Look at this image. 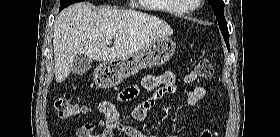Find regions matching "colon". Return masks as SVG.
I'll return each instance as SVG.
<instances>
[{
  "mask_svg": "<svg viewBox=\"0 0 280 137\" xmlns=\"http://www.w3.org/2000/svg\"><path fill=\"white\" fill-rule=\"evenodd\" d=\"M213 75H214V65L212 61L210 59H203L200 60L195 65L194 69L188 75L187 81L194 82L198 79H209ZM120 96L124 102H128L135 97L134 94L128 90H124L120 94ZM53 105L58 116L62 119H74L83 110V108L78 106L76 103L63 97L56 98L53 102ZM215 136L216 133H213L211 131H206L201 134V137H215Z\"/></svg>",
  "mask_w": 280,
  "mask_h": 137,
  "instance_id": "5ec220e1",
  "label": "colon"
}]
</instances>
